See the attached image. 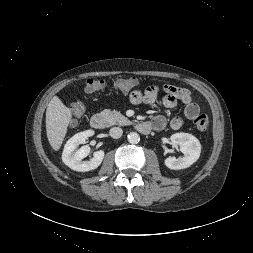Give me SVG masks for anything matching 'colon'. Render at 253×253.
Wrapping results in <instances>:
<instances>
[{
  "mask_svg": "<svg viewBox=\"0 0 253 253\" xmlns=\"http://www.w3.org/2000/svg\"><path fill=\"white\" fill-rule=\"evenodd\" d=\"M137 84L138 81L136 78L129 77L116 80L113 86L117 91L125 93L133 90ZM104 87L105 82L103 80L91 77L86 80L84 90L86 93H94L103 89ZM68 107L74 122L84 115L86 109L85 104L81 101L73 102ZM194 124L197 129L202 131L206 130L209 126V118L205 114L198 115L194 119Z\"/></svg>",
  "mask_w": 253,
  "mask_h": 253,
  "instance_id": "5ec220e1",
  "label": "colon"
}]
</instances>
